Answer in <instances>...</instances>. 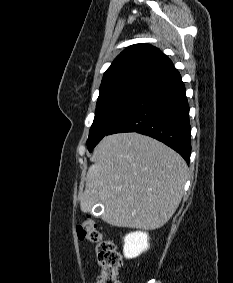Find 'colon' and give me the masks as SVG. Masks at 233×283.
Here are the masks:
<instances>
[{"label":"colon","instance_id":"1","mask_svg":"<svg viewBox=\"0 0 233 283\" xmlns=\"http://www.w3.org/2000/svg\"><path fill=\"white\" fill-rule=\"evenodd\" d=\"M77 233L81 239L96 245L100 271L95 283H120L118 271L122 265V257L111 240L102 238L98 222L92 217L83 219L77 226Z\"/></svg>","mask_w":233,"mask_h":283}]
</instances>
